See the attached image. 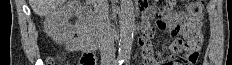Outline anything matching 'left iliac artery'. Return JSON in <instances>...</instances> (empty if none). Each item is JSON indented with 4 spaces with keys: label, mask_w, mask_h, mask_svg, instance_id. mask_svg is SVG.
<instances>
[{
    "label": "left iliac artery",
    "mask_w": 232,
    "mask_h": 65,
    "mask_svg": "<svg viewBox=\"0 0 232 65\" xmlns=\"http://www.w3.org/2000/svg\"><path fill=\"white\" fill-rule=\"evenodd\" d=\"M126 61L129 62V58H126Z\"/></svg>",
    "instance_id": "1"
}]
</instances>
